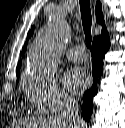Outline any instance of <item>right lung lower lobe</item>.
Here are the masks:
<instances>
[{
    "mask_svg": "<svg viewBox=\"0 0 125 128\" xmlns=\"http://www.w3.org/2000/svg\"><path fill=\"white\" fill-rule=\"evenodd\" d=\"M110 39L107 30L103 31L100 36L93 40L91 55L93 58L92 75L93 84L90 90H87L83 96V111L82 116L86 121H89L93 112V97L97 94L98 83L100 81L103 71V58L105 53L109 50Z\"/></svg>",
    "mask_w": 125,
    "mask_h": 128,
    "instance_id": "obj_1",
    "label": "right lung lower lobe"
}]
</instances>
